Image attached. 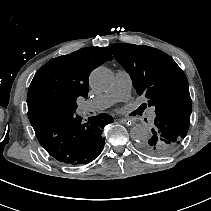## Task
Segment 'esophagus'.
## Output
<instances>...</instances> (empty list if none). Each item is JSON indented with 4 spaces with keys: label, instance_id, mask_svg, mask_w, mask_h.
Wrapping results in <instances>:
<instances>
[{
    "label": "esophagus",
    "instance_id": "34e87169",
    "mask_svg": "<svg viewBox=\"0 0 211 211\" xmlns=\"http://www.w3.org/2000/svg\"><path fill=\"white\" fill-rule=\"evenodd\" d=\"M118 121L123 124L126 123L129 128L134 126L133 120L131 118H120Z\"/></svg>",
    "mask_w": 211,
    "mask_h": 211
}]
</instances>
